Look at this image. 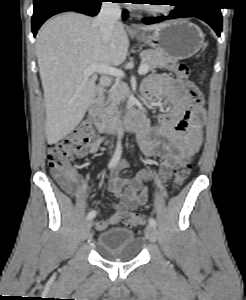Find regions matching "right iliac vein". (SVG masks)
<instances>
[{
	"instance_id": "right-iliac-vein-1",
	"label": "right iliac vein",
	"mask_w": 246,
	"mask_h": 300,
	"mask_svg": "<svg viewBox=\"0 0 246 300\" xmlns=\"http://www.w3.org/2000/svg\"><path fill=\"white\" fill-rule=\"evenodd\" d=\"M91 225H92V222L90 220L85 222L84 228H83V231H82V234H81V239L82 240H85L87 238L88 233L91 229Z\"/></svg>"
}]
</instances>
